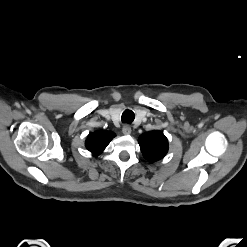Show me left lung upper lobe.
Masks as SVG:
<instances>
[{
  "label": "left lung upper lobe",
  "instance_id": "left-lung-upper-lobe-1",
  "mask_svg": "<svg viewBox=\"0 0 247 247\" xmlns=\"http://www.w3.org/2000/svg\"><path fill=\"white\" fill-rule=\"evenodd\" d=\"M138 142L143 156L151 162L162 159L168 152V140L160 131L144 133Z\"/></svg>",
  "mask_w": 247,
  "mask_h": 247
}]
</instances>
